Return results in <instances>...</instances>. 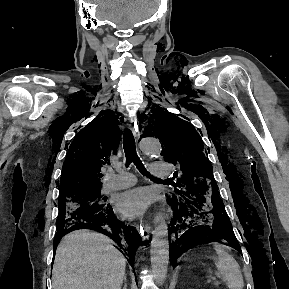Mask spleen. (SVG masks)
<instances>
[{"label": "spleen", "instance_id": "obj_1", "mask_svg": "<svg viewBox=\"0 0 289 289\" xmlns=\"http://www.w3.org/2000/svg\"><path fill=\"white\" fill-rule=\"evenodd\" d=\"M213 247L217 253L215 266L218 276L224 280L228 289H243V276L237 261L225 250L223 245L215 243Z\"/></svg>", "mask_w": 289, "mask_h": 289}]
</instances>
